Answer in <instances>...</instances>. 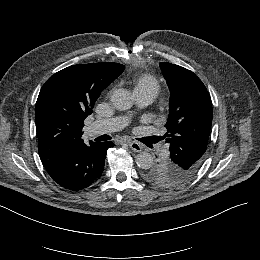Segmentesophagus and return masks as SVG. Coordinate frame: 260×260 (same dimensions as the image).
Segmentation results:
<instances>
[{"instance_id":"34e87169","label":"esophagus","mask_w":260,"mask_h":260,"mask_svg":"<svg viewBox=\"0 0 260 260\" xmlns=\"http://www.w3.org/2000/svg\"><path fill=\"white\" fill-rule=\"evenodd\" d=\"M129 147L135 152H141L143 149L142 146L136 141L129 142Z\"/></svg>"}]
</instances>
